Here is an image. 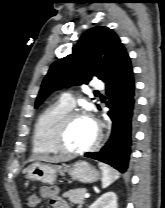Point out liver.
Segmentation results:
<instances>
[{"instance_id":"obj_1","label":"liver","mask_w":165,"mask_h":208,"mask_svg":"<svg viewBox=\"0 0 165 208\" xmlns=\"http://www.w3.org/2000/svg\"><path fill=\"white\" fill-rule=\"evenodd\" d=\"M45 161V162H50V163H60V162H65L71 160L70 157H64V156H38V157H33L31 161Z\"/></svg>"}]
</instances>
